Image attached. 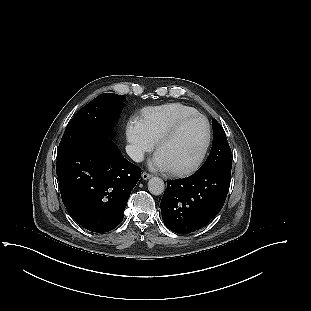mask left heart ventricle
<instances>
[{
  "mask_svg": "<svg viewBox=\"0 0 311 311\" xmlns=\"http://www.w3.org/2000/svg\"><path fill=\"white\" fill-rule=\"evenodd\" d=\"M206 127L201 118L186 122L179 132L158 150L168 168H177L193 162L203 148Z\"/></svg>",
  "mask_w": 311,
  "mask_h": 311,
  "instance_id": "1",
  "label": "left heart ventricle"
}]
</instances>
